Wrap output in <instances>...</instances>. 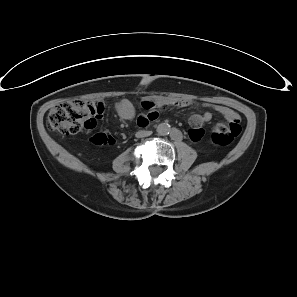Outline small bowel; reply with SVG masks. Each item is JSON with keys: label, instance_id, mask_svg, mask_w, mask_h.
<instances>
[{"label": "small bowel", "instance_id": "small-bowel-1", "mask_svg": "<svg viewBox=\"0 0 297 297\" xmlns=\"http://www.w3.org/2000/svg\"><path fill=\"white\" fill-rule=\"evenodd\" d=\"M190 103L186 100H173V99H160L157 101L146 100L142 103V107L145 113L141 114L138 118V123L140 126H146L150 121L155 120L158 117V108H163L166 106H179L186 107ZM214 109L223 115L226 119L231 120L238 116V114L232 109L216 105ZM116 111L118 115L124 120H131L135 116V108L133 104L127 100L123 99L116 104ZM212 119V114L206 111L202 114H194L190 117V124L193 128L189 131V137L193 141H198L203 136L202 127Z\"/></svg>", "mask_w": 297, "mask_h": 297}]
</instances>
